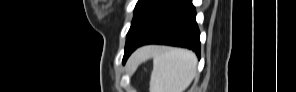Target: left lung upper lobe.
I'll return each mask as SVG.
<instances>
[{
  "instance_id": "obj_1",
  "label": "left lung upper lobe",
  "mask_w": 296,
  "mask_h": 92,
  "mask_svg": "<svg viewBox=\"0 0 296 92\" xmlns=\"http://www.w3.org/2000/svg\"><path fill=\"white\" fill-rule=\"evenodd\" d=\"M169 1L138 0L131 27L126 36L125 53L147 35Z\"/></svg>"
}]
</instances>
